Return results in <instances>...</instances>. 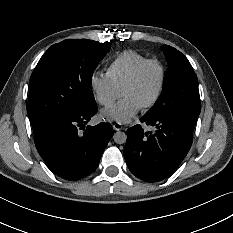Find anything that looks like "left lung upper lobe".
Instances as JSON below:
<instances>
[{
	"label": "left lung upper lobe",
	"instance_id": "1",
	"mask_svg": "<svg viewBox=\"0 0 233 233\" xmlns=\"http://www.w3.org/2000/svg\"><path fill=\"white\" fill-rule=\"evenodd\" d=\"M168 69L160 97L143 116L146 119H198L201 104L197 76L188 59L175 48L163 45Z\"/></svg>",
	"mask_w": 233,
	"mask_h": 233
}]
</instances>
